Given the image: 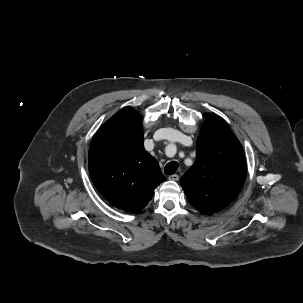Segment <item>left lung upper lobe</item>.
<instances>
[{"instance_id":"5c2ea615","label":"left lung upper lobe","mask_w":303,"mask_h":303,"mask_svg":"<svg viewBox=\"0 0 303 303\" xmlns=\"http://www.w3.org/2000/svg\"><path fill=\"white\" fill-rule=\"evenodd\" d=\"M245 177L240 142L224 121L209 115L197 141L196 162L180 180L189 203L203 214L218 212L235 199Z\"/></svg>"}]
</instances>
